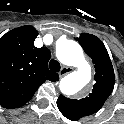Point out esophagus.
Here are the masks:
<instances>
[{
    "instance_id": "1",
    "label": "esophagus",
    "mask_w": 124,
    "mask_h": 124,
    "mask_svg": "<svg viewBox=\"0 0 124 124\" xmlns=\"http://www.w3.org/2000/svg\"><path fill=\"white\" fill-rule=\"evenodd\" d=\"M72 71H73V68L64 66V67H62V69L60 70L59 76H60V77H63V76H65V75L71 73Z\"/></svg>"
}]
</instances>
